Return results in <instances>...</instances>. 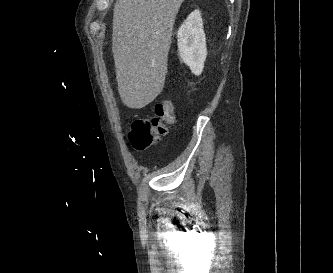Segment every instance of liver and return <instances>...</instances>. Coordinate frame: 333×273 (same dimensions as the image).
I'll list each match as a JSON object with an SVG mask.
<instances>
[{"label": "liver", "mask_w": 333, "mask_h": 273, "mask_svg": "<svg viewBox=\"0 0 333 273\" xmlns=\"http://www.w3.org/2000/svg\"><path fill=\"white\" fill-rule=\"evenodd\" d=\"M184 0H117L112 52L124 105L141 109L164 87L176 15Z\"/></svg>", "instance_id": "obj_1"}]
</instances>
